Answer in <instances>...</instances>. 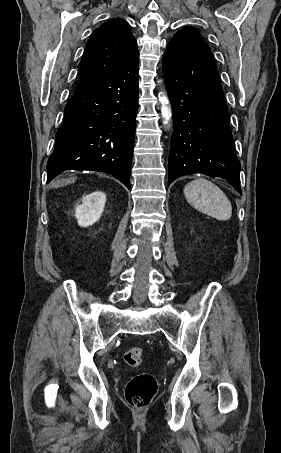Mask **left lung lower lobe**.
Masks as SVG:
<instances>
[{"mask_svg":"<svg viewBox=\"0 0 281 453\" xmlns=\"http://www.w3.org/2000/svg\"><path fill=\"white\" fill-rule=\"evenodd\" d=\"M163 74L174 122L168 185L180 176L202 173L226 179L242 194L228 109L205 41L173 37L164 55Z\"/></svg>","mask_w":281,"mask_h":453,"instance_id":"1","label":"left lung lower lobe"}]
</instances>
